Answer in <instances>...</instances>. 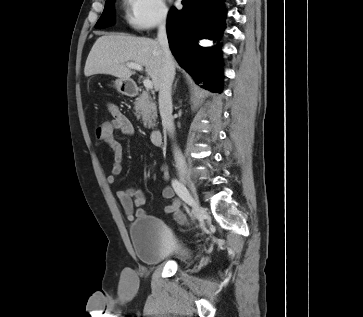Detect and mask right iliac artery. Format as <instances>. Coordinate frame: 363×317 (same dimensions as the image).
Here are the masks:
<instances>
[{
    "instance_id": "right-iliac-artery-1",
    "label": "right iliac artery",
    "mask_w": 363,
    "mask_h": 317,
    "mask_svg": "<svg viewBox=\"0 0 363 317\" xmlns=\"http://www.w3.org/2000/svg\"><path fill=\"white\" fill-rule=\"evenodd\" d=\"M172 187L176 194L188 205L192 206L194 205L193 198L190 196L188 190L186 187L180 183L178 180L174 179L172 180Z\"/></svg>"
}]
</instances>
